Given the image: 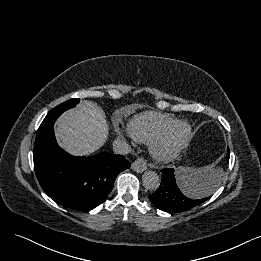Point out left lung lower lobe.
<instances>
[{"mask_svg":"<svg viewBox=\"0 0 261 261\" xmlns=\"http://www.w3.org/2000/svg\"><path fill=\"white\" fill-rule=\"evenodd\" d=\"M229 151L227 159H229ZM162 172V182L158 190L149 196L152 204L158 209L168 213H179L196 207L210 197L193 198L191 195L197 194L199 186L190 179L181 181L174 173V169L164 168Z\"/></svg>","mask_w":261,"mask_h":261,"instance_id":"0a47b994","label":"left lung lower lobe"}]
</instances>
